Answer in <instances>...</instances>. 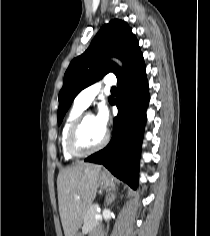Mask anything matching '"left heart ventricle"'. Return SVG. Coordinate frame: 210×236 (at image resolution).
Segmentation results:
<instances>
[{
	"instance_id": "left-heart-ventricle-1",
	"label": "left heart ventricle",
	"mask_w": 210,
	"mask_h": 236,
	"mask_svg": "<svg viewBox=\"0 0 210 236\" xmlns=\"http://www.w3.org/2000/svg\"><path fill=\"white\" fill-rule=\"evenodd\" d=\"M104 134L105 131L96 124L94 116H88L82 125L79 140L83 146L93 147L102 141Z\"/></svg>"
}]
</instances>
